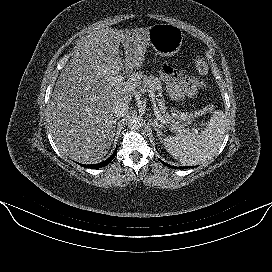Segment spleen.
<instances>
[{"instance_id":"spleen-1","label":"spleen","mask_w":272,"mask_h":272,"mask_svg":"<svg viewBox=\"0 0 272 272\" xmlns=\"http://www.w3.org/2000/svg\"><path fill=\"white\" fill-rule=\"evenodd\" d=\"M226 129L225 114L215 111L206 128L199 134L178 133L167 136L163 144L174 158L185 165H198L215 156L224 139Z\"/></svg>"}]
</instances>
